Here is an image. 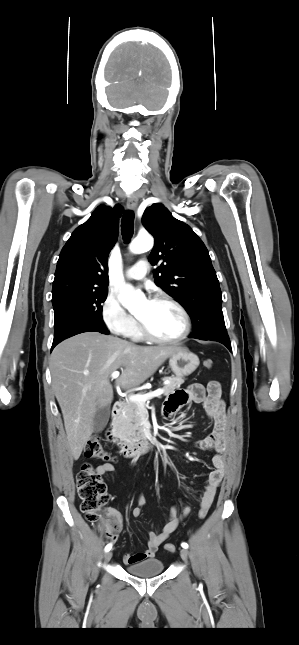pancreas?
<instances>
[{
	"mask_svg": "<svg viewBox=\"0 0 299 645\" xmlns=\"http://www.w3.org/2000/svg\"><path fill=\"white\" fill-rule=\"evenodd\" d=\"M169 383L164 385V395L167 396L174 392L184 383L182 377H166ZM123 413L116 417L114 432L115 435L124 443H134L144 438V428L142 426V417L144 414L143 407L139 403L127 400L124 403Z\"/></svg>",
	"mask_w": 299,
	"mask_h": 645,
	"instance_id": "1",
	"label": "pancreas"
}]
</instances>
